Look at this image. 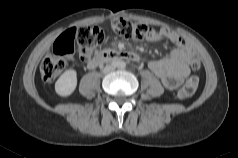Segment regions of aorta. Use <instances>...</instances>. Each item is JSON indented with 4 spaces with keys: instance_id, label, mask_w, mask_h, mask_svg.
I'll return each mask as SVG.
<instances>
[{
    "instance_id": "aorta-1",
    "label": "aorta",
    "mask_w": 238,
    "mask_h": 158,
    "mask_svg": "<svg viewBox=\"0 0 238 158\" xmlns=\"http://www.w3.org/2000/svg\"><path fill=\"white\" fill-rule=\"evenodd\" d=\"M117 66H118L119 68H125L126 63H125L124 61H119V62L117 63Z\"/></svg>"
}]
</instances>
